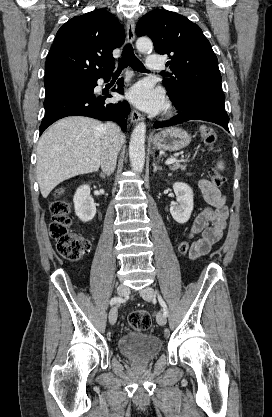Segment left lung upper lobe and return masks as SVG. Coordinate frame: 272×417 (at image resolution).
Segmentation results:
<instances>
[{
  "label": "left lung upper lobe",
  "mask_w": 272,
  "mask_h": 417,
  "mask_svg": "<svg viewBox=\"0 0 272 417\" xmlns=\"http://www.w3.org/2000/svg\"><path fill=\"white\" fill-rule=\"evenodd\" d=\"M136 34L147 35L156 52L166 54L171 71L163 79L169 97L180 101L190 95L225 109L218 60L200 27L186 17L167 10H154L137 23Z\"/></svg>",
  "instance_id": "left-lung-upper-lobe-1"
}]
</instances>
